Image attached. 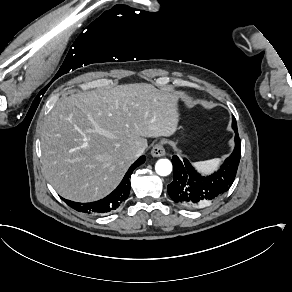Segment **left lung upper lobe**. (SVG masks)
Wrapping results in <instances>:
<instances>
[{
  "instance_id": "left-lung-upper-lobe-1",
  "label": "left lung upper lobe",
  "mask_w": 292,
  "mask_h": 292,
  "mask_svg": "<svg viewBox=\"0 0 292 292\" xmlns=\"http://www.w3.org/2000/svg\"><path fill=\"white\" fill-rule=\"evenodd\" d=\"M232 127H233V129H234L235 133H237V132H238V131H237V123H236V120H235L234 116H233V123H232ZM237 134H238V133H237Z\"/></svg>"
}]
</instances>
